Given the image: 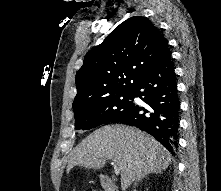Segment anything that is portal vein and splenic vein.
Returning <instances> with one entry per match:
<instances>
[{
	"label": "portal vein and splenic vein",
	"instance_id": "portal-vein-and-splenic-vein-1",
	"mask_svg": "<svg viewBox=\"0 0 221 191\" xmlns=\"http://www.w3.org/2000/svg\"><path fill=\"white\" fill-rule=\"evenodd\" d=\"M112 165L114 166L115 174L118 175L120 172V169L116 166V164L113 162Z\"/></svg>",
	"mask_w": 221,
	"mask_h": 191
}]
</instances>
